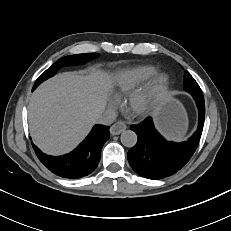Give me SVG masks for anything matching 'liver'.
Here are the masks:
<instances>
[{
  "instance_id": "1",
  "label": "liver",
  "mask_w": 231,
  "mask_h": 231,
  "mask_svg": "<svg viewBox=\"0 0 231 231\" xmlns=\"http://www.w3.org/2000/svg\"><path fill=\"white\" fill-rule=\"evenodd\" d=\"M110 88V78L95 69L86 75L65 72L42 83L29 103L35 144L51 155L72 150L98 121Z\"/></svg>"
}]
</instances>
